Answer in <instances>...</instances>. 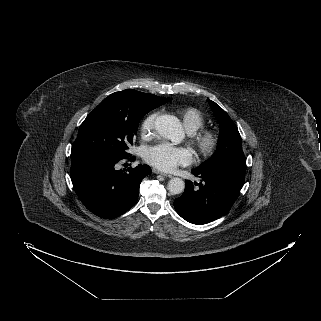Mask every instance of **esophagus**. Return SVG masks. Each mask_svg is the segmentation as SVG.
Instances as JSON below:
<instances>
[{
  "label": "esophagus",
  "instance_id": "obj_1",
  "mask_svg": "<svg viewBox=\"0 0 321 321\" xmlns=\"http://www.w3.org/2000/svg\"><path fill=\"white\" fill-rule=\"evenodd\" d=\"M152 172L155 173V174H159V175L165 176V177H167V176L171 177V175H167L166 173H163V172H161L160 170H158L156 168H153Z\"/></svg>",
  "mask_w": 321,
  "mask_h": 321
}]
</instances>
